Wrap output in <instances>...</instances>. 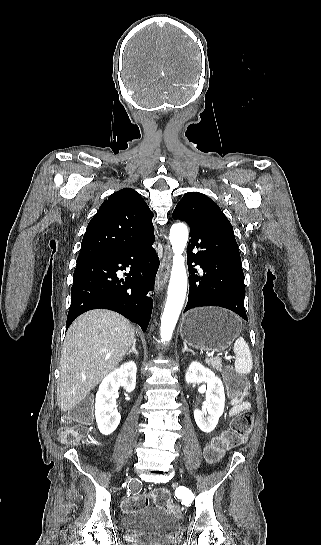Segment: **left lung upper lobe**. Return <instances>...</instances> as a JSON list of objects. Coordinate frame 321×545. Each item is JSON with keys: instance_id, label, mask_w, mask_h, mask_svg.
Returning a JSON list of instances; mask_svg holds the SVG:
<instances>
[{"instance_id": "1", "label": "left lung upper lobe", "mask_w": 321, "mask_h": 545, "mask_svg": "<svg viewBox=\"0 0 321 545\" xmlns=\"http://www.w3.org/2000/svg\"><path fill=\"white\" fill-rule=\"evenodd\" d=\"M214 214L224 215L219 206L211 198L199 192H188L178 202L172 216L173 219H191Z\"/></svg>"}]
</instances>
